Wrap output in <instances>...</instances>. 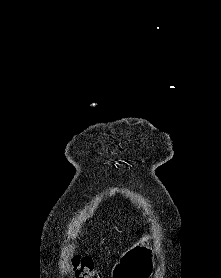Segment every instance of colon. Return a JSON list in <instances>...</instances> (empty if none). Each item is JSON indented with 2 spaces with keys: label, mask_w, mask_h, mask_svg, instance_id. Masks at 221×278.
<instances>
[{
  "label": "colon",
  "mask_w": 221,
  "mask_h": 278,
  "mask_svg": "<svg viewBox=\"0 0 221 278\" xmlns=\"http://www.w3.org/2000/svg\"><path fill=\"white\" fill-rule=\"evenodd\" d=\"M72 267L76 278H103L93 261L87 257H75L72 260Z\"/></svg>",
  "instance_id": "obj_1"
}]
</instances>
